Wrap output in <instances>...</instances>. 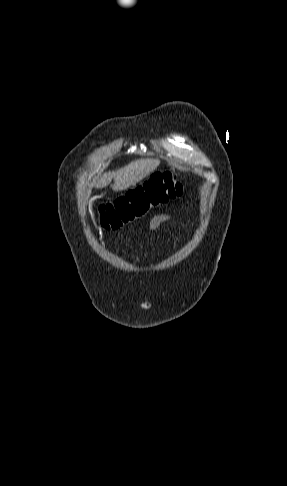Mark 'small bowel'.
<instances>
[{
  "label": "small bowel",
  "instance_id": "c3829d8e",
  "mask_svg": "<svg viewBox=\"0 0 287 486\" xmlns=\"http://www.w3.org/2000/svg\"><path fill=\"white\" fill-rule=\"evenodd\" d=\"M172 220V216L170 214H158L155 215L149 222L148 229L149 231H155L159 229L164 223L170 222Z\"/></svg>",
  "mask_w": 287,
  "mask_h": 486
}]
</instances>
